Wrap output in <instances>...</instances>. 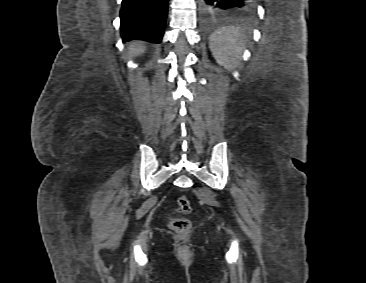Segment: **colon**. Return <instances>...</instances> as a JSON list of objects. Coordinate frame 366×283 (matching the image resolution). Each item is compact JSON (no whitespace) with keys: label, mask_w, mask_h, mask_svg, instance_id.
<instances>
[{"label":"colon","mask_w":366,"mask_h":283,"mask_svg":"<svg viewBox=\"0 0 366 283\" xmlns=\"http://www.w3.org/2000/svg\"><path fill=\"white\" fill-rule=\"evenodd\" d=\"M192 210L191 203L187 196L181 195L177 199L176 213L178 215L189 214ZM170 227L180 233H186L190 230V222L186 218L174 216L170 219Z\"/></svg>","instance_id":"5ec220e1"}]
</instances>
